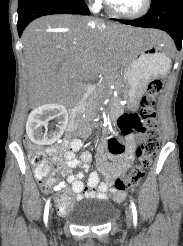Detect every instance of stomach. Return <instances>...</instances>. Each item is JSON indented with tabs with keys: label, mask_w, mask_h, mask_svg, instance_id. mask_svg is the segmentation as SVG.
Masks as SVG:
<instances>
[{
	"label": "stomach",
	"mask_w": 183,
	"mask_h": 246,
	"mask_svg": "<svg viewBox=\"0 0 183 246\" xmlns=\"http://www.w3.org/2000/svg\"><path fill=\"white\" fill-rule=\"evenodd\" d=\"M164 49L159 44L141 40H135L132 43L128 61L122 66V77L127 85V96L133 106H137L150 79L165 75L169 70L171 60Z\"/></svg>",
	"instance_id": "1"
}]
</instances>
